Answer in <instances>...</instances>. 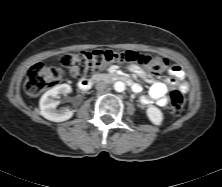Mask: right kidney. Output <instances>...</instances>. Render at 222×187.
<instances>
[{"label":"right kidney","instance_id":"1","mask_svg":"<svg viewBox=\"0 0 222 187\" xmlns=\"http://www.w3.org/2000/svg\"><path fill=\"white\" fill-rule=\"evenodd\" d=\"M71 91L70 85L61 84L45 92L39 102L41 115L53 122H62L70 119L73 116V111L66 108L56 109L59 104V101L56 99L60 94L66 95Z\"/></svg>","mask_w":222,"mask_h":187}]
</instances>
